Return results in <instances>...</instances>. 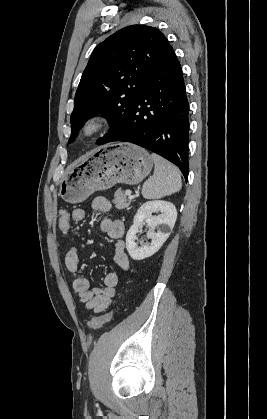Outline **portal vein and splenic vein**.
I'll return each mask as SVG.
<instances>
[{"mask_svg": "<svg viewBox=\"0 0 267 419\" xmlns=\"http://www.w3.org/2000/svg\"><path fill=\"white\" fill-rule=\"evenodd\" d=\"M125 194H126L127 196H131L132 192H131V190H126V191H125Z\"/></svg>", "mask_w": 267, "mask_h": 419, "instance_id": "1", "label": "portal vein and splenic vein"}]
</instances>
